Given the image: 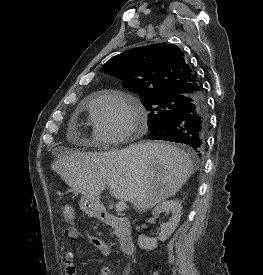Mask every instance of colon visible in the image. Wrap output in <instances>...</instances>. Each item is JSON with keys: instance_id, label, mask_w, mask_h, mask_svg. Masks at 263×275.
<instances>
[{"instance_id": "colon-1", "label": "colon", "mask_w": 263, "mask_h": 275, "mask_svg": "<svg viewBox=\"0 0 263 275\" xmlns=\"http://www.w3.org/2000/svg\"><path fill=\"white\" fill-rule=\"evenodd\" d=\"M61 214L66 222L71 223L75 220V210L70 205H63L61 207Z\"/></svg>"}]
</instances>
